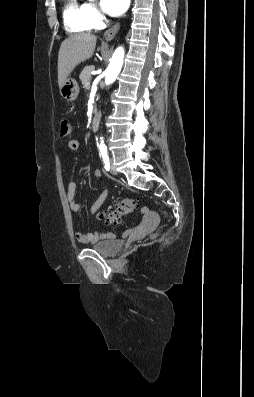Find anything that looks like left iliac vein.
I'll list each match as a JSON object with an SVG mask.
<instances>
[{"label":"left iliac vein","instance_id":"4c4485c4","mask_svg":"<svg viewBox=\"0 0 254 397\" xmlns=\"http://www.w3.org/2000/svg\"><path fill=\"white\" fill-rule=\"evenodd\" d=\"M110 173L113 174V175H117L118 174V172L116 171V169H115V167H114L112 162L110 164Z\"/></svg>","mask_w":254,"mask_h":397}]
</instances>
